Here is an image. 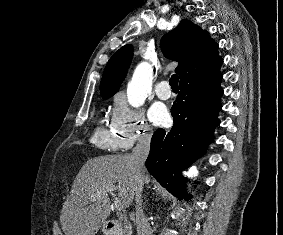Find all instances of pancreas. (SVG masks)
Instances as JSON below:
<instances>
[{"label":"pancreas","instance_id":"1","mask_svg":"<svg viewBox=\"0 0 283 235\" xmlns=\"http://www.w3.org/2000/svg\"><path fill=\"white\" fill-rule=\"evenodd\" d=\"M124 231H123V235H131L132 234V225L130 222H128L127 220H124Z\"/></svg>","mask_w":283,"mask_h":235}]
</instances>
